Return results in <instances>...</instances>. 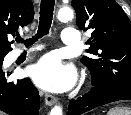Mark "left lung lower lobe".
Masks as SVG:
<instances>
[{"label":"left lung lower lobe","mask_w":131,"mask_h":115,"mask_svg":"<svg viewBox=\"0 0 131 115\" xmlns=\"http://www.w3.org/2000/svg\"><path fill=\"white\" fill-rule=\"evenodd\" d=\"M119 100H131V89L102 88L93 85V88L83 97L70 101L67 115H81L96 107Z\"/></svg>","instance_id":"left-lung-lower-lobe-1"}]
</instances>
